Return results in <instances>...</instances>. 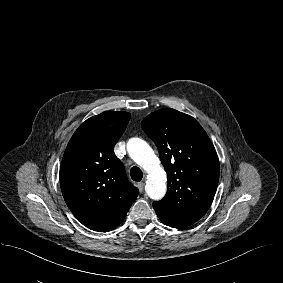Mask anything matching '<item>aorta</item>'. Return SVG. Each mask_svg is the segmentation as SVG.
<instances>
[{
  "label": "aorta",
  "instance_id": "obj_1",
  "mask_svg": "<svg viewBox=\"0 0 283 283\" xmlns=\"http://www.w3.org/2000/svg\"><path fill=\"white\" fill-rule=\"evenodd\" d=\"M127 151L134 162L148 173L145 186L148 196L153 200L162 199L167 190V178L152 148L140 138H131L127 142Z\"/></svg>",
  "mask_w": 283,
  "mask_h": 283
}]
</instances>
